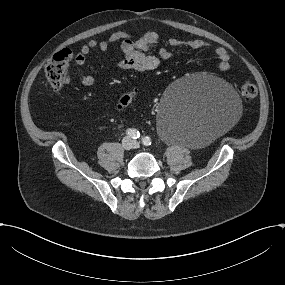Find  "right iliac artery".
Masks as SVG:
<instances>
[{
    "instance_id": "82829eb1",
    "label": "right iliac artery",
    "mask_w": 285,
    "mask_h": 285,
    "mask_svg": "<svg viewBox=\"0 0 285 285\" xmlns=\"http://www.w3.org/2000/svg\"><path fill=\"white\" fill-rule=\"evenodd\" d=\"M126 134L128 135V137L132 138V139H137L140 137V133L138 130L130 128L126 131Z\"/></svg>"
}]
</instances>
